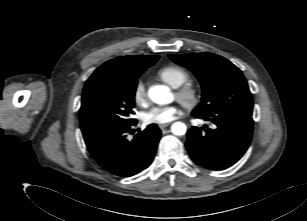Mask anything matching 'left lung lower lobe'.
<instances>
[{"mask_svg": "<svg viewBox=\"0 0 307 221\" xmlns=\"http://www.w3.org/2000/svg\"><path fill=\"white\" fill-rule=\"evenodd\" d=\"M192 116L210 120L214 125L213 129L188 130L186 148L194 162L219 170L232 166L244 155L252 138V110L231 108L209 116Z\"/></svg>", "mask_w": 307, "mask_h": 221, "instance_id": "0a47b994", "label": "left lung lower lobe"}]
</instances>
